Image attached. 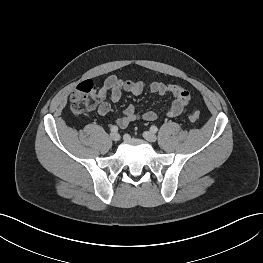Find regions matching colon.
Instances as JSON below:
<instances>
[{"mask_svg":"<svg viewBox=\"0 0 263 263\" xmlns=\"http://www.w3.org/2000/svg\"><path fill=\"white\" fill-rule=\"evenodd\" d=\"M99 96V87L91 80L80 83L70 96V109L73 114L80 115L91 109ZM198 111H193L189 119L195 122L199 119Z\"/></svg>","mask_w":263,"mask_h":263,"instance_id":"1","label":"colon"}]
</instances>
